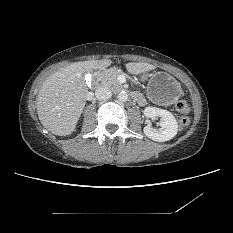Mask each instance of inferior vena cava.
<instances>
[{
	"label": "inferior vena cava",
	"mask_w": 233,
	"mask_h": 233,
	"mask_svg": "<svg viewBox=\"0 0 233 233\" xmlns=\"http://www.w3.org/2000/svg\"><path fill=\"white\" fill-rule=\"evenodd\" d=\"M95 96L98 100H108L112 96L111 89L107 86L98 87L95 91Z\"/></svg>",
	"instance_id": "obj_1"
}]
</instances>
